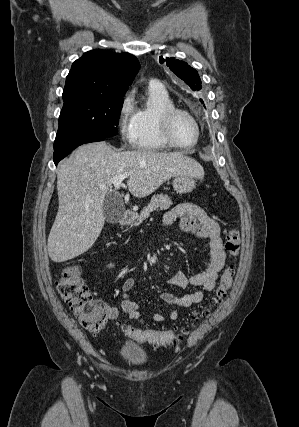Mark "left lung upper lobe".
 I'll return each instance as SVG.
<instances>
[{
    "label": "left lung upper lobe",
    "mask_w": 299,
    "mask_h": 427,
    "mask_svg": "<svg viewBox=\"0 0 299 427\" xmlns=\"http://www.w3.org/2000/svg\"><path fill=\"white\" fill-rule=\"evenodd\" d=\"M160 62L163 63V57H160ZM166 65L170 70L176 74L180 79H182L193 91L201 89V80L198 75V72L189 66L186 62L180 61L172 58H166ZM201 103L203 100L200 99Z\"/></svg>",
    "instance_id": "5c2ea615"
}]
</instances>
